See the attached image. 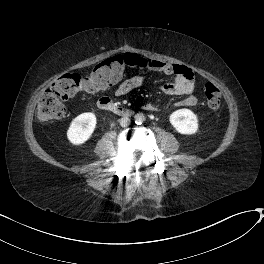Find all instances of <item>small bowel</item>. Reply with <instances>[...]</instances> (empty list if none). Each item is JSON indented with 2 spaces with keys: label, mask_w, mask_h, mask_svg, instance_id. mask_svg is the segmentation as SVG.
<instances>
[{
  "label": "small bowel",
  "mask_w": 264,
  "mask_h": 264,
  "mask_svg": "<svg viewBox=\"0 0 264 264\" xmlns=\"http://www.w3.org/2000/svg\"><path fill=\"white\" fill-rule=\"evenodd\" d=\"M136 60L135 67L152 72L162 73L172 77V80L160 85V89L168 95H184L185 97L176 102V106L193 107L198 103L199 97L195 93V80L190 69L184 64H173L169 62L139 57L132 55ZM145 83L142 76L133 75L126 77L116 88L117 96H124L131 91L141 87ZM146 111H155L157 108L152 103L143 106Z\"/></svg>",
  "instance_id": "small-bowel-1"
}]
</instances>
